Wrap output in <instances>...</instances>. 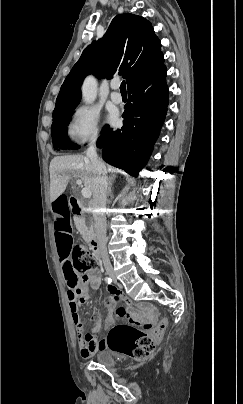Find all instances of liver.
<instances>
[{
	"mask_svg": "<svg viewBox=\"0 0 243 404\" xmlns=\"http://www.w3.org/2000/svg\"><path fill=\"white\" fill-rule=\"evenodd\" d=\"M107 166V172H116L112 166ZM50 200L54 202L66 190L71 178H81L85 188L93 192L92 168L89 158L85 156H56L50 162Z\"/></svg>",
	"mask_w": 243,
	"mask_h": 404,
	"instance_id": "6515ba94",
	"label": "liver"
}]
</instances>
